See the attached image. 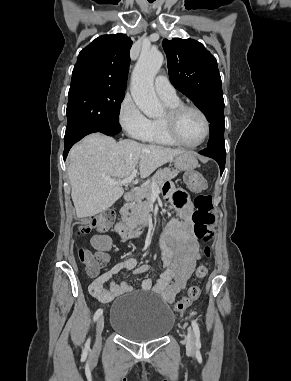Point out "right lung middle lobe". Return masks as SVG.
Wrapping results in <instances>:
<instances>
[{
	"label": "right lung middle lobe",
	"instance_id": "dd1d6c3e",
	"mask_svg": "<svg viewBox=\"0 0 291 381\" xmlns=\"http://www.w3.org/2000/svg\"><path fill=\"white\" fill-rule=\"evenodd\" d=\"M124 91L104 86H70L64 141H78L81 136L95 129L118 126Z\"/></svg>",
	"mask_w": 291,
	"mask_h": 381
}]
</instances>
